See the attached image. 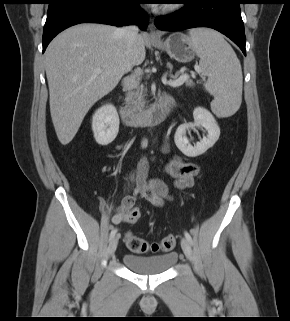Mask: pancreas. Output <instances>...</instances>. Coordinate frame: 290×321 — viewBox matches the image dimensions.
<instances>
[{
  "label": "pancreas",
  "mask_w": 290,
  "mask_h": 321,
  "mask_svg": "<svg viewBox=\"0 0 290 321\" xmlns=\"http://www.w3.org/2000/svg\"><path fill=\"white\" fill-rule=\"evenodd\" d=\"M186 86H192L193 81L191 79H188L185 81ZM135 89L136 91H129L126 97V103L128 107L136 110H141L144 108L145 102H144V95L143 92L146 91V89L143 86H139L137 84H133L131 87V90Z\"/></svg>",
  "instance_id": "cf45deb5"
}]
</instances>
